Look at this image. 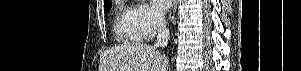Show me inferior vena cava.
<instances>
[{
    "label": "inferior vena cava",
    "instance_id": "obj_1",
    "mask_svg": "<svg viewBox=\"0 0 301 71\" xmlns=\"http://www.w3.org/2000/svg\"><path fill=\"white\" fill-rule=\"evenodd\" d=\"M158 35L155 43V47H165L168 44L170 34L166 27V19L162 14L156 15Z\"/></svg>",
    "mask_w": 301,
    "mask_h": 71
}]
</instances>
